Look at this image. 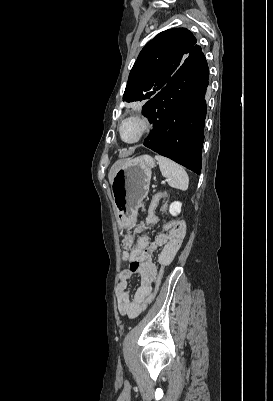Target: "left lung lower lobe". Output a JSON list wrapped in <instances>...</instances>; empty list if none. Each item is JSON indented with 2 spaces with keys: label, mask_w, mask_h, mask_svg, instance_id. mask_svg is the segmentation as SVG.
<instances>
[{
  "label": "left lung lower lobe",
  "mask_w": 273,
  "mask_h": 401,
  "mask_svg": "<svg viewBox=\"0 0 273 401\" xmlns=\"http://www.w3.org/2000/svg\"><path fill=\"white\" fill-rule=\"evenodd\" d=\"M208 79L206 58L195 44L166 86L142 110L154 126L144 145L197 174L201 172Z\"/></svg>",
  "instance_id": "obj_1"
}]
</instances>
